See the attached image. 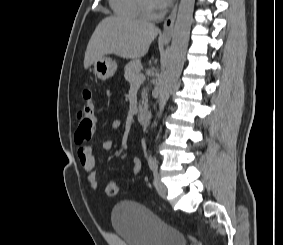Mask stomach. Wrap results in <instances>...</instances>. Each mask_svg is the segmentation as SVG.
Wrapping results in <instances>:
<instances>
[{"instance_id": "obj_1", "label": "stomach", "mask_w": 283, "mask_h": 245, "mask_svg": "<svg viewBox=\"0 0 283 245\" xmlns=\"http://www.w3.org/2000/svg\"><path fill=\"white\" fill-rule=\"evenodd\" d=\"M117 70V63L109 57L103 56L94 62V72L101 80L112 77Z\"/></svg>"}]
</instances>
